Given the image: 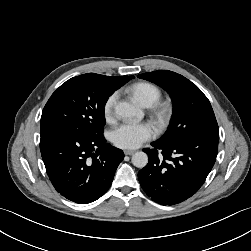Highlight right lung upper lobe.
Segmentation results:
<instances>
[{
  "label": "right lung upper lobe",
  "instance_id": "1",
  "mask_svg": "<svg viewBox=\"0 0 251 251\" xmlns=\"http://www.w3.org/2000/svg\"><path fill=\"white\" fill-rule=\"evenodd\" d=\"M96 75L101 77L104 81H106L115 90H117L122 85L127 83L129 80L134 78V76H118V77H115V76H104V75H99V74H96Z\"/></svg>",
  "mask_w": 251,
  "mask_h": 251
}]
</instances>
